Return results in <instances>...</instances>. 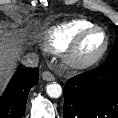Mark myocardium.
Instances as JSON below:
<instances>
[{
    "label": "myocardium",
    "instance_id": "myocardium-1",
    "mask_svg": "<svg viewBox=\"0 0 118 118\" xmlns=\"http://www.w3.org/2000/svg\"><path fill=\"white\" fill-rule=\"evenodd\" d=\"M100 32L104 36V45L102 49L93 57L87 59L79 58V50L83 41L92 33ZM110 40L107 32L99 27L92 26L80 32L71 45L65 50L64 65L70 70H85L96 65L107 53Z\"/></svg>",
    "mask_w": 118,
    "mask_h": 118
}]
</instances>
